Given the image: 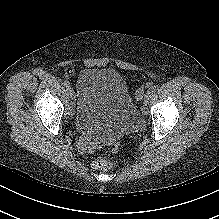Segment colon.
<instances>
[{
    "label": "colon",
    "instance_id": "obj_1",
    "mask_svg": "<svg viewBox=\"0 0 219 219\" xmlns=\"http://www.w3.org/2000/svg\"><path fill=\"white\" fill-rule=\"evenodd\" d=\"M71 73V70H68V75ZM120 146V141H114L111 144V151L115 152L118 150ZM94 168L98 169V170H102V171H106L109 170L110 168H112L113 166V162L111 160H108L106 158L100 157L97 158L94 163H93Z\"/></svg>",
    "mask_w": 219,
    "mask_h": 219
}]
</instances>
